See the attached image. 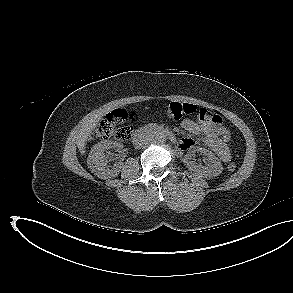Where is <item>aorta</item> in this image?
<instances>
[{
  "label": "aorta",
  "mask_w": 293,
  "mask_h": 293,
  "mask_svg": "<svg viewBox=\"0 0 293 293\" xmlns=\"http://www.w3.org/2000/svg\"><path fill=\"white\" fill-rule=\"evenodd\" d=\"M155 140L159 143L164 142L166 140V136L165 135H158L155 137Z\"/></svg>",
  "instance_id": "aorta-1"
}]
</instances>
